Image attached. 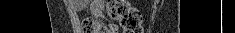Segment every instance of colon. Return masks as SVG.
<instances>
[{"label":"colon","mask_w":235,"mask_h":33,"mask_svg":"<svg viewBox=\"0 0 235 33\" xmlns=\"http://www.w3.org/2000/svg\"><path fill=\"white\" fill-rule=\"evenodd\" d=\"M110 19L119 23L123 33H142V18L138 10L124 0H109L106 8ZM84 33H116L114 24H105L93 18H86L82 23Z\"/></svg>","instance_id":"1"}]
</instances>
